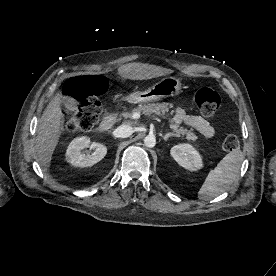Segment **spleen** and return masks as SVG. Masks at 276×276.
Masks as SVG:
<instances>
[{"mask_svg": "<svg viewBox=\"0 0 276 276\" xmlns=\"http://www.w3.org/2000/svg\"><path fill=\"white\" fill-rule=\"evenodd\" d=\"M244 160L243 153L232 150L208 173L198 192L200 200H210L223 192L234 182Z\"/></svg>", "mask_w": 276, "mask_h": 276, "instance_id": "1", "label": "spleen"}]
</instances>
